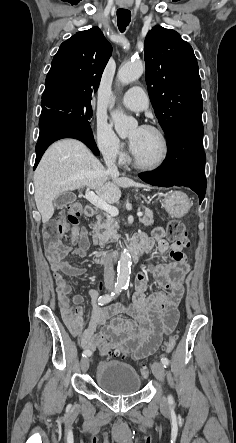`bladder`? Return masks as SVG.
Masks as SVG:
<instances>
[{"mask_svg":"<svg viewBox=\"0 0 236 443\" xmlns=\"http://www.w3.org/2000/svg\"><path fill=\"white\" fill-rule=\"evenodd\" d=\"M97 386L108 394L126 396L136 393L142 383L138 372L129 364L105 360L95 371Z\"/></svg>","mask_w":236,"mask_h":443,"instance_id":"31cf9c89","label":"bladder"}]
</instances>
